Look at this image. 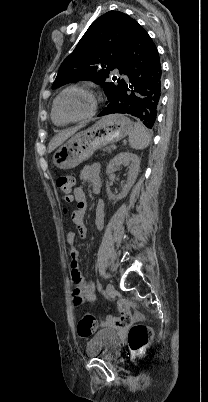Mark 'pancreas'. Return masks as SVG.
Masks as SVG:
<instances>
[{"mask_svg": "<svg viewBox=\"0 0 208 402\" xmlns=\"http://www.w3.org/2000/svg\"><path fill=\"white\" fill-rule=\"evenodd\" d=\"M112 146H108V148H104V152H111Z\"/></svg>", "mask_w": 208, "mask_h": 402, "instance_id": "obj_1", "label": "pancreas"}]
</instances>
